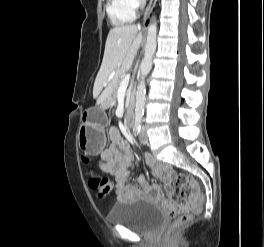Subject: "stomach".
Returning a JSON list of instances; mask_svg holds the SVG:
<instances>
[{"label":"stomach","mask_w":264,"mask_h":247,"mask_svg":"<svg viewBox=\"0 0 264 247\" xmlns=\"http://www.w3.org/2000/svg\"><path fill=\"white\" fill-rule=\"evenodd\" d=\"M105 122L103 111H98L96 116L88 114L78 131V143L82 150L97 154L103 149L106 141Z\"/></svg>","instance_id":"stomach-1"}]
</instances>
